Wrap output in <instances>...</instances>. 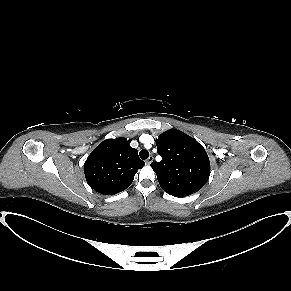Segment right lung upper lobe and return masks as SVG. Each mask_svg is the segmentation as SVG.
<instances>
[{"label": "right lung upper lobe", "instance_id": "obj_1", "mask_svg": "<svg viewBox=\"0 0 291 291\" xmlns=\"http://www.w3.org/2000/svg\"><path fill=\"white\" fill-rule=\"evenodd\" d=\"M125 138L107 139L99 144L84 163L87 183L101 194H116L128 188L137 170L145 163Z\"/></svg>", "mask_w": 291, "mask_h": 291}]
</instances>
